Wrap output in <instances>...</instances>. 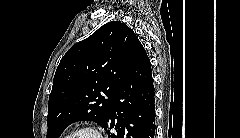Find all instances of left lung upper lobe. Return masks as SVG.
<instances>
[{"mask_svg": "<svg viewBox=\"0 0 240 138\" xmlns=\"http://www.w3.org/2000/svg\"><path fill=\"white\" fill-rule=\"evenodd\" d=\"M140 47L133 30L118 21L106 23L73 45L61 59L53 79L47 138H58L77 121L103 126Z\"/></svg>", "mask_w": 240, "mask_h": 138, "instance_id": "1", "label": "left lung upper lobe"}]
</instances>
